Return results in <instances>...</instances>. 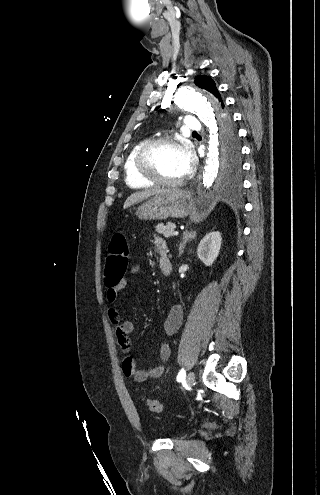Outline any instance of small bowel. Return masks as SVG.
<instances>
[{"label": "small bowel", "mask_w": 320, "mask_h": 495, "mask_svg": "<svg viewBox=\"0 0 320 495\" xmlns=\"http://www.w3.org/2000/svg\"><path fill=\"white\" fill-rule=\"evenodd\" d=\"M157 248L159 251L166 248L165 242L156 237L155 239ZM139 268L137 266L132 268V273L137 274ZM126 284L125 279H121L117 284H108L107 300L109 303H114L117 299L118 292L124 288ZM107 316L111 324L115 327L117 341L121 351L126 355L123 359L122 366L126 376L133 378L136 382H144L148 379H157L162 376L164 372L163 365H157L150 369H139L134 359L129 355L132 351V338L131 334L134 331V324L131 321H123L117 309L115 307H109L107 310ZM184 312L180 305H174L165 321L160 327V331L164 336L173 335L181 326ZM170 346L161 341L159 345V355L163 362L167 361L170 357Z\"/></svg>", "instance_id": "c3829d8e"}]
</instances>
